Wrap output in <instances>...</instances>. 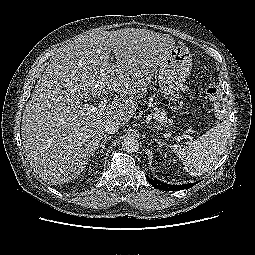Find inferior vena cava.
Returning <instances> with one entry per match:
<instances>
[{"mask_svg":"<svg viewBox=\"0 0 255 255\" xmlns=\"http://www.w3.org/2000/svg\"><path fill=\"white\" fill-rule=\"evenodd\" d=\"M104 130L108 134H115L119 130V124L116 121H108L105 124Z\"/></svg>","mask_w":255,"mask_h":255,"instance_id":"inferior-vena-cava-1","label":"inferior vena cava"}]
</instances>
